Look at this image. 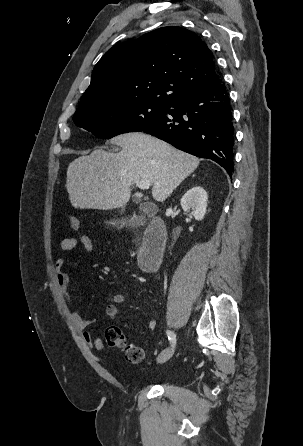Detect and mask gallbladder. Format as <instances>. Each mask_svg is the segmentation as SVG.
Wrapping results in <instances>:
<instances>
[{"mask_svg": "<svg viewBox=\"0 0 303 446\" xmlns=\"http://www.w3.org/2000/svg\"><path fill=\"white\" fill-rule=\"evenodd\" d=\"M138 221H141V219H138V218H136V216H133L130 220H127L126 222H129V223H136V222H138ZM117 223H120L121 224V226L122 225H124V221H119V222H109V224H112V225H116Z\"/></svg>", "mask_w": 303, "mask_h": 446, "instance_id": "1", "label": "gallbladder"}]
</instances>
